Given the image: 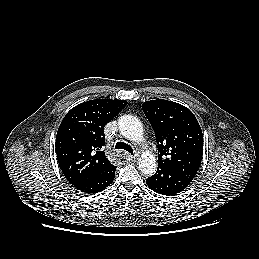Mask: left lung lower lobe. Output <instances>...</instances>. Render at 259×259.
I'll use <instances>...</instances> for the list:
<instances>
[{
    "label": "left lung lower lobe",
    "instance_id": "0a47b994",
    "mask_svg": "<svg viewBox=\"0 0 259 259\" xmlns=\"http://www.w3.org/2000/svg\"><path fill=\"white\" fill-rule=\"evenodd\" d=\"M151 190L162 195H175L185 189L189 182L171 169L158 166L156 173L146 179Z\"/></svg>",
    "mask_w": 259,
    "mask_h": 259
}]
</instances>
